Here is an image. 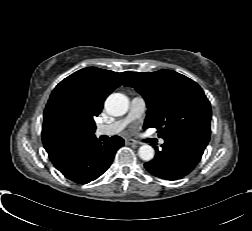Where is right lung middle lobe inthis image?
<instances>
[{
    "instance_id": "1",
    "label": "right lung middle lobe",
    "mask_w": 252,
    "mask_h": 231,
    "mask_svg": "<svg viewBox=\"0 0 252 231\" xmlns=\"http://www.w3.org/2000/svg\"><path fill=\"white\" fill-rule=\"evenodd\" d=\"M56 129L63 135H74L82 128L79 118L68 108L60 107L55 116Z\"/></svg>"
}]
</instances>
